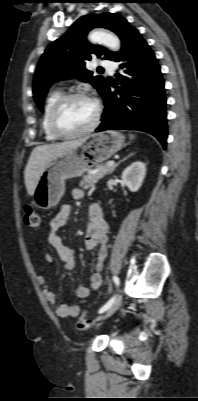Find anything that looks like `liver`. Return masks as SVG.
Masks as SVG:
<instances>
[{
    "mask_svg": "<svg viewBox=\"0 0 198 401\" xmlns=\"http://www.w3.org/2000/svg\"><path fill=\"white\" fill-rule=\"evenodd\" d=\"M83 139L40 145L32 150L24 171L25 185L30 196L34 195L38 180L47 164L69 148L80 144Z\"/></svg>",
    "mask_w": 198,
    "mask_h": 401,
    "instance_id": "1",
    "label": "liver"
}]
</instances>
